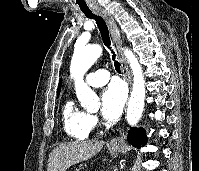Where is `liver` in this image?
<instances>
[{"label":"liver","instance_id":"obj_1","mask_svg":"<svg viewBox=\"0 0 199 171\" xmlns=\"http://www.w3.org/2000/svg\"><path fill=\"white\" fill-rule=\"evenodd\" d=\"M103 145L104 142L99 140L61 144L50 153L47 171H66L70 166L96 155Z\"/></svg>","mask_w":199,"mask_h":171}]
</instances>
